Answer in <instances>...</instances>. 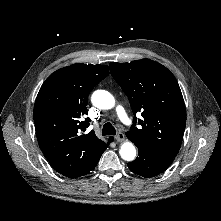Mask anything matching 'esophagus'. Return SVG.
Instances as JSON below:
<instances>
[{"mask_svg": "<svg viewBox=\"0 0 221 221\" xmlns=\"http://www.w3.org/2000/svg\"><path fill=\"white\" fill-rule=\"evenodd\" d=\"M116 141L121 142L125 139V135L122 132H119L116 136H115Z\"/></svg>", "mask_w": 221, "mask_h": 221, "instance_id": "esophagus-1", "label": "esophagus"}]
</instances>
